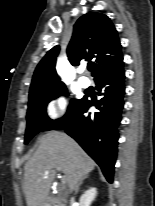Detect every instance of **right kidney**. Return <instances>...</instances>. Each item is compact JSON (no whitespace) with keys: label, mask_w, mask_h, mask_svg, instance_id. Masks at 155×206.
<instances>
[{"label":"right kidney","mask_w":155,"mask_h":206,"mask_svg":"<svg viewBox=\"0 0 155 206\" xmlns=\"http://www.w3.org/2000/svg\"><path fill=\"white\" fill-rule=\"evenodd\" d=\"M96 195L97 189L95 187L86 190L79 199L80 206H90Z\"/></svg>","instance_id":"ca27d5eb"}]
</instances>
